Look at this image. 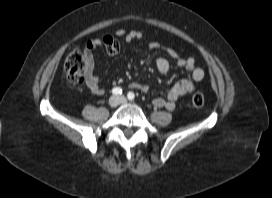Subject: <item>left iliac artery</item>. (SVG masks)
I'll list each match as a JSON object with an SVG mask.
<instances>
[{"instance_id":"obj_1","label":"left iliac artery","mask_w":272,"mask_h":198,"mask_svg":"<svg viewBox=\"0 0 272 198\" xmlns=\"http://www.w3.org/2000/svg\"><path fill=\"white\" fill-rule=\"evenodd\" d=\"M127 97H128L129 100H133V99L135 98V95H134L133 92H129V93L127 94Z\"/></svg>"}]
</instances>
